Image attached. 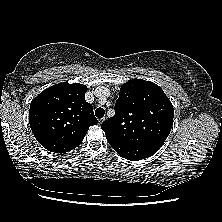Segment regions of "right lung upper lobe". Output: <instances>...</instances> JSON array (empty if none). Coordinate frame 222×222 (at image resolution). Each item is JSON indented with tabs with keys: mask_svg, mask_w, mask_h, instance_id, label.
<instances>
[{
	"mask_svg": "<svg viewBox=\"0 0 222 222\" xmlns=\"http://www.w3.org/2000/svg\"><path fill=\"white\" fill-rule=\"evenodd\" d=\"M87 86L68 82L53 85L35 97L29 124L48 151L66 153L78 147L90 126L97 124L93 107L85 101Z\"/></svg>",
	"mask_w": 222,
	"mask_h": 222,
	"instance_id": "right-lung-upper-lobe-1",
	"label": "right lung upper lobe"
}]
</instances>
